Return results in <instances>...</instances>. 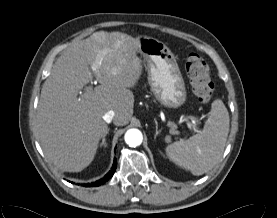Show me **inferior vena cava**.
<instances>
[{
  "instance_id": "obj_1",
  "label": "inferior vena cava",
  "mask_w": 277,
  "mask_h": 218,
  "mask_svg": "<svg viewBox=\"0 0 277 218\" xmlns=\"http://www.w3.org/2000/svg\"><path fill=\"white\" fill-rule=\"evenodd\" d=\"M114 116L115 112L113 110H110L104 114L103 119L105 122L110 123L113 120Z\"/></svg>"
}]
</instances>
